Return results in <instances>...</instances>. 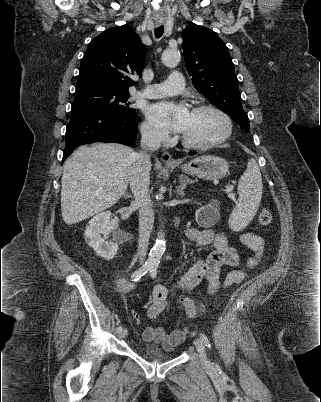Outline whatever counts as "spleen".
Listing matches in <instances>:
<instances>
[{
  "label": "spleen",
  "mask_w": 321,
  "mask_h": 402,
  "mask_svg": "<svg viewBox=\"0 0 321 402\" xmlns=\"http://www.w3.org/2000/svg\"><path fill=\"white\" fill-rule=\"evenodd\" d=\"M262 177L255 159H249L247 169L238 183L239 199L229 216V227L233 231L244 229L255 216L262 198Z\"/></svg>",
  "instance_id": "1"
}]
</instances>
